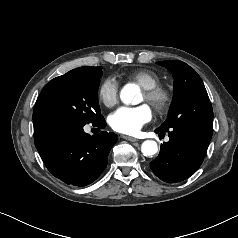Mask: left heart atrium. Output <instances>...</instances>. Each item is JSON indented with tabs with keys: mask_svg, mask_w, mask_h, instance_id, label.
Returning a JSON list of instances; mask_svg holds the SVG:
<instances>
[{
	"mask_svg": "<svg viewBox=\"0 0 238 238\" xmlns=\"http://www.w3.org/2000/svg\"><path fill=\"white\" fill-rule=\"evenodd\" d=\"M151 108L146 105L121 107L110 116L111 127L123 134H135L152 119Z\"/></svg>",
	"mask_w": 238,
	"mask_h": 238,
	"instance_id": "39dd6f15",
	"label": "left heart atrium"
}]
</instances>
